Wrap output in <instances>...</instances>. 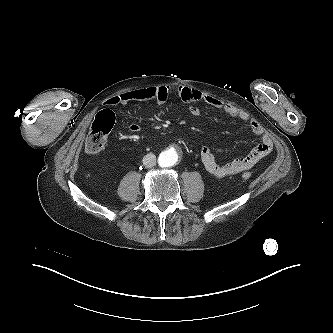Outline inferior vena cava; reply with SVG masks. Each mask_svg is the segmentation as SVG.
I'll return each instance as SVG.
<instances>
[{
    "mask_svg": "<svg viewBox=\"0 0 333 333\" xmlns=\"http://www.w3.org/2000/svg\"><path fill=\"white\" fill-rule=\"evenodd\" d=\"M156 164V156L152 153H149L143 158V165L146 168H152Z\"/></svg>",
    "mask_w": 333,
    "mask_h": 333,
    "instance_id": "inferior-vena-cava-1",
    "label": "inferior vena cava"
}]
</instances>
